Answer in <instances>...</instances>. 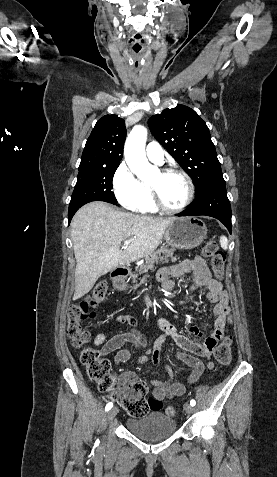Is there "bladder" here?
<instances>
[{"instance_id": "bladder-1", "label": "bladder", "mask_w": 277, "mask_h": 477, "mask_svg": "<svg viewBox=\"0 0 277 477\" xmlns=\"http://www.w3.org/2000/svg\"><path fill=\"white\" fill-rule=\"evenodd\" d=\"M125 425L134 435L148 441L169 437L177 429L174 418L158 411H152L142 417L128 418Z\"/></svg>"}]
</instances>
